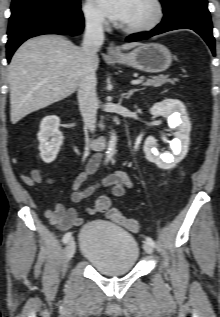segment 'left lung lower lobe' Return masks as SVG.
Segmentation results:
<instances>
[{"instance_id": "1", "label": "left lung lower lobe", "mask_w": 220, "mask_h": 317, "mask_svg": "<svg viewBox=\"0 0 220 317\" xmlns=\"http://www.w3.org/2000/svg\"><path fill=\"white\" fill-rule=\"evenodd\" d=\"M162 22L153 30L129 36L132 42L176 29H191L198 33L215 55V40L212 35V22L207 9V0H178L172 7L164 9Z\"/></svg>"}]
</instances>
